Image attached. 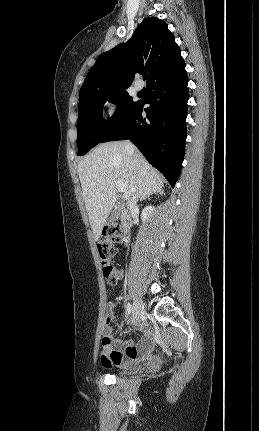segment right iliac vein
<instances>
[{
  "label": "right iliac vein",
  "mask_w": 259,
  "mask_h": 431,
  "mask_svg": "<svg viewBox=\"0 0 259 431\" xmlns=\"http://www.w3.org/2000/svg\"><path fill=\"white\" fill-rule=\"evenodd\" d=\"M144 313V305L140 299H135L133 304V323H136Z\"/></svg>",
  "instance_id": "right-iliac-vein-1"
}]
</instances>
